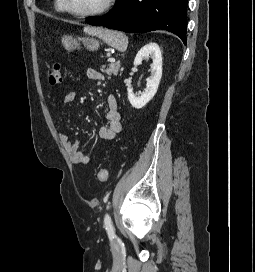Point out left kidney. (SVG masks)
<instances>
[{"label": "left kidney", "mask_w": 255, "mask_h": 272, "mask_svg": "<svg viewBox=\"0 0 255 272\" xmlns=\"http://www.w3.org/2000/svg\"><path fill=\"white\" fill-rule=\"evenodd\" d=\"M146 58L153 60L151 64V76L147 80L146 89L141 96H136L131 88H127L130 104L140 109L144 107L156 94L162 77V54L157 43H149L143 46L134 59V65L142 64Z\"/></svg>", "instance_id": "1"}]
</instances>
